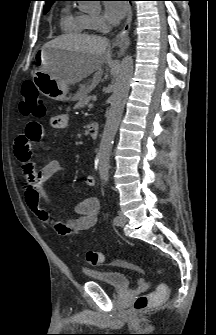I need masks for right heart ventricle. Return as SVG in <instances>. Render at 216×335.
<instances>
[{
  "label": "right heart ventricle",
  "instance_id": "e07e8e85",
  "mask_svg": "<svg viewBox=\"0 0 216 335\" xmlns=\"http://www.w3.org/2000/svg\"><path fill=\"white\" fill-rule=\"evenodd\" d=\"M60 26L63 32L70 34L86 33L93 29L90 17L67 5L61 12Z\"/></svg>",
  "mask_w": 216,
  "mask_h": 335
}]
</instances>
